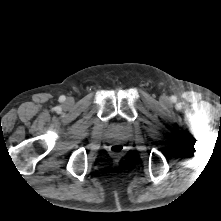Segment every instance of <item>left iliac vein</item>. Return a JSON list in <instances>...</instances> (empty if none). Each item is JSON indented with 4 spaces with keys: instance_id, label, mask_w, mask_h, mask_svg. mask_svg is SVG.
Instances as JSON below:
<instances>
[{
    "instance_id": "left-iliac-vein-1",
    "label": "left iliac vein",
    "mask_w": 221,
    "mask_h": 221,
    "mask_svg": "<svg viewBox=\"0 0 221 221\" xmlns=\"http://www.w3.org/2000/svg\"><path fill=\"white\" fill-rule=\"evenodd\" d=\"M167 101V98L166 97H163L162 98V102H166Z\"/></svg>"
}]
</instances>
